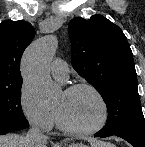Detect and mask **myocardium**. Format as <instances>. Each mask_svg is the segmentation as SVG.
Segmentation results:
<instances>
[{"instance_id": "1", "label": "myocardium", "mask_w": 145, "mask_h": 147, "mask_svg": "<svg viewBox=\"0 0 145 147\" xmlns=\"http://www.w3.org/2000/svg\"><path fill=\"white\" fill-rule=\"evenodd\" d=\"M79 89H88L98 99V101L100 102L101 108H102L101 120L95 126H92L90 128L78 129V128H75L69 125L57 109H55V114H56V118H57L59 127L63 131L69 134H72V135H76V136H88V135H92V134L99 132L106 126L109 120L110 111H109L108 103L106 99L104 98V96L102 95V93L94 85L90 83L80 82V83L71 84L64 90V92L72 93Z\"/></svg>"}]
</instances>
